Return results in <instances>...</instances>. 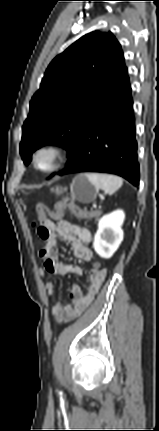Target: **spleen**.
Listing matches in <instances>:
<instances>
[{"label": "spleen", "mask_w": 159, "mask_h": 431, "mask_svg": "<svg viewBox=\"0 0 159 431\" xmlns=\"http://www.w3.org/2000/svg\"><path fill=\"white\" fill-rule=\"evenodd\" d=\"M87 179L97 188L109 195L115 193L123 184V180L115 175L87 173Z\"/></svg>", "instance_id": "obj_1"}]
</instances>
